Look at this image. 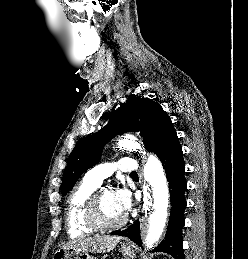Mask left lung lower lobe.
<instances>
[{
    "mask_svg": "<svg viewBox=\"0 0 248 259\" xmlns=\"http://www.w3.org/2000/svg\"><path fill=\"white\" fill-rule=\"evenodd\" d=\"M157 156L163 164L169 182L171 213L165 239L154 251L168 253L175 259H184L181 230L185 222L183 217L186 208L184 193L187 190V183L184 177L185 163L179 141L177 140L169 147L160 150ZM111 234L128 237L142 246L139 222L132 224L126 230L114 231Z\"/></svg>",
    "mask_w": 248,
    "mask_h": 259,
    "instance_id": "obj_1",
    "label": "left lung lower lobe"
}]
</instances>
